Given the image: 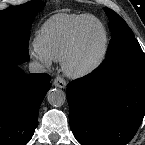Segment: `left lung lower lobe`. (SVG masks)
Returning a JSON list of instances; mask_svg holds the SVG:
<instances>
[{
  "instance_id": "0a47b994",
  "label": "left lung lower lobe",
  "mask_w": 145,
  "mask_h": 145,
  "mask_svg": "<svg viewBox=\"0 0 145 145\" xmlns=\"http://www.w3.org/2000/svg\"><path fill=\"white\" fill-rule=\"evenodd\" d=\"M69 121L81 145H125L145 115V66L102 71L68 84Z\"/></svg>"
}]
</instances>
